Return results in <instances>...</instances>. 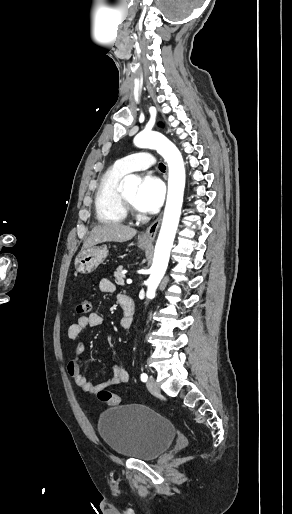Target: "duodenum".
<instances>
[{
  "label": "duodenum",
  "mask_w": 292,
  "mask_h": 514,
  "mask_svg": "<svg viewBox=\"0 0 292 514\" xmlns=\"http://www.w3.org/2000/svg\"><path fill=\"white\" fill-rule=\"evenodd\" d=\"M118 301H119L120 306L126 313V319H125L123 329L129 330L131 328L132 319H133V316L135 313L134 299L129 295H119ZM128 322L131 323L130 326H128Z\"/></svg>",
  "instance_id": "1"
}]
</instances>
